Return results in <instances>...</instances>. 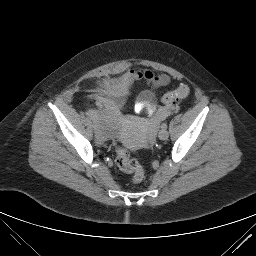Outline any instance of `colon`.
Listing matches in <instances>:
<instances>
[{
  "mask_svg": "<svg viewBox=\"0 0 256 256\" xmlns=\"http://www.w3.org/2000/svg\"><path fill=\"white\" fill-rule=\"evenodd\" d=\"M189 94V86L182 84L176 89L167 92L161 101L165 107L172 108L178 101L187 97ZM116 164L123 172L132 175V183L138 184L143 181L145 176L143 167L137 161L131 159L128 151L121 146L116 147Z\"/></svg>",
  "mask_w": 256,
  "mask_h": 256,
  "instance_id": "5ec220e1",
  "label": "colon"
}]
</instances>
